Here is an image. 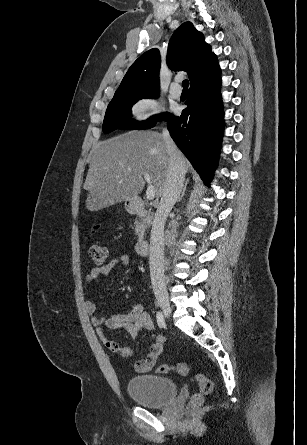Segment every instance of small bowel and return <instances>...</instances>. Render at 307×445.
<instances>
[{"label":"small bowel","mask_w":307,"mask_h":445,"mask_svg":"<svg viewBox=\"0 0 307 445\" xmlns=\"http://www.w3.org/2000/svg\"><path fill=\"white\" fill-rule=\"evenodd\" d=\"M130 263V256L128 254H120L110 260L102 267L92 268L86 274V282L89 285L95 283L100 276L109 274L117 266H127ZM129 275V272L126 273ZM87 312L92 315V324L100 333L105 346L113 353L119 354L125 359H130L133 356V351L129 347H122L111 339L105 337L106 330L124 329L132 337L144 330L151 331L154 329V324L150 316L143 311L141 303H136L130 310L114 314L109 317L98 314V305L93 300L86 302ZM164 337L160 334L155 335L149 351L145 358L137 360L133 363L136 372L144 373L150 371L156 364L158 358L163 351Z\"/></svg>","instance_id":"small-bowel-1"}]
</instances>
